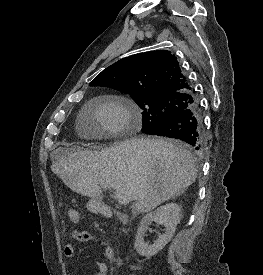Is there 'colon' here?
<instances>
[{"label": "colon", "mask_w": 263, "mask_h": 275, "mask_svg": "<svg viewBox=\"0 0 263 275\" xmlns=\"http://www.w3.org/2000/svg\"><path fill=\"white\" fill-rule=\"evenodd\" d=\"M66 215L70 222L77 223L80 220L79 212L74 208H67Z\"/></svg>", "instance_id": "colon-1"}]
</instances>
